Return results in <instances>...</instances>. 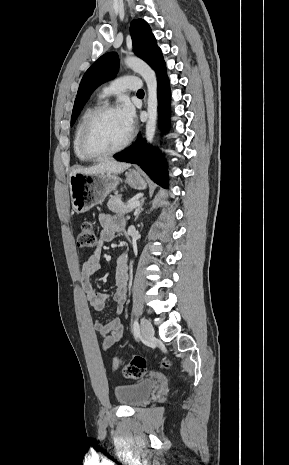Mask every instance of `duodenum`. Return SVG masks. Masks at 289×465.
<instances>
[{
    "label": "duodenum",
    "mask_w": 289,
    "mask_h": 465,
    "mask_svg": "<svg viewBox=\"0 0 289 465\" xmlns=\"http://www.w3.org/2000/svg\"><path fill=\"white\" fill-rule=\"evenodd\" d=\"M122 258H123L124 260H127V259H128V254H127V253H123V254H122Z\"/></svg>",
    "instance_id": "duodenum-1"
}]
</instances>
